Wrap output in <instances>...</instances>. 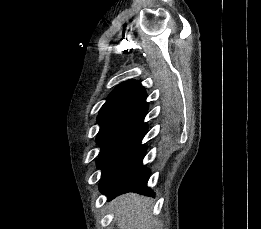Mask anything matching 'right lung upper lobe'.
<instances>
[{
	"label": "right lung upper lobe",
	"mask_w": 261,
	"mask_h": 229,
	"mask_svg": "<svg viewBox=\"0 0 261 229\" xmlns=\"http://www.w3.org/2000/svg\"><path fill=\"white\" fill-rule=\"evenodd\" d=\"M148 111L146 92L140 82H123L108 96L99 112L100 131L97 137L102 149L124 150L132 146V138L146 130Z\"/></svg>",
	"instance_id": "1"
}]
</instances>
